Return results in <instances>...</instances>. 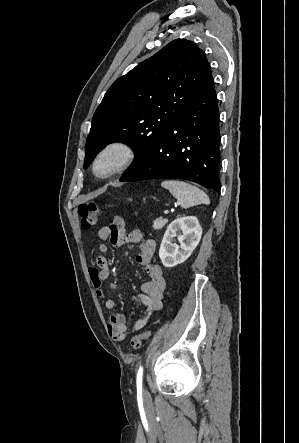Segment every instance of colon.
Returning <instances> with one entry per match:
<instances>
[{
  "label": "colon",
  "instance_id": "obj_1",
  "mask_svg": "<svg viewBox=\"0 0 299 443\" xmlns=\"http://www.w3.org/2000/svg\"><path fill=\"white\" fill-rule=\"evenodd\" d=\"M78 212L81 217V224L83 228L88 229L95 226L98 222L99 212L95 203H82L78 207ZM150 336L149 331L142 332L132 337L130 341L131 348L137 350L141 347L143 341Z\"/></svg>",
  "mask_w": 299,
  "mask_h": 443
}]
</instances>
